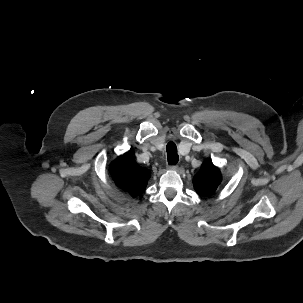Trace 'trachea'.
Masks as SVG:
<instances>
[{
  "label": "trachea",
  "mask_w": 303,
  "mask_h": 303,
  "mask_svg": "<svg viewBox=\"0 0 303 303\" xmlns=\"http://www.w3.org/2000/svg\"><path fill=\"white\" fill-rule=\"evenodd\" d=\"M168 163L170 165L177 164L179 156L177 154V147L174 142L170 141L166 146Z\"/></svg>",
  "instance_id": "1"
}]
</instances>
